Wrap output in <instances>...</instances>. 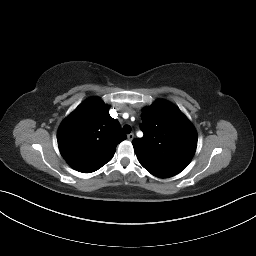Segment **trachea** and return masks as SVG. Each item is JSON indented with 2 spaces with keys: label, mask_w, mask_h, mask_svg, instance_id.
Segmentation results:
<instances>
[{
  "label": "trachea",
  "mask_w": 256,
  "mask_h": 256,
  "mask_svg": "<svg viewBox=\"0 0 256 256\" xmlns=\"http://www.w3.org/2000/svg\"><path fill=\"white\" fill-rule=\"evenodd\" d=\"M123 132L129 134L131 132V127L129 125H124Z\"/></svg>",
  "instance_id": "3493384b"
}]
</instances>
